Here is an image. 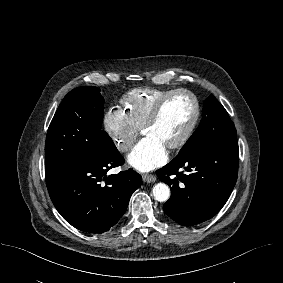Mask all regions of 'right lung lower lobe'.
Listing matches in <instances>:
<instances>
[{
    "mask_svg": "<svg viewBox=\"0 0 283 283\" xmlns=\"http://www.w3.org/2000/svg\"><path fill=\"white\" fill-rule=\"evenodd\" d=\"M123 163L113 144L93 157L46 173L49 195L62 217L89 233H102L115 225L142 182L141 175L132 169L107 176L109 169Z\"/></svg>",
    "mask_w": 283,
    "mask_h": 283,
    "instance_id": "98d812e1",
    "label": "right lung lower lobe"
}]
</instances>
